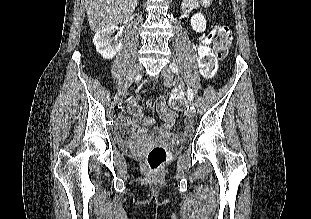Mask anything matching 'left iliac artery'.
<instances>
[{"mask_svg":"<svg viewBox=\"0 0 311 219\" xmlns=\"http://www.w3.org/2000/svg\"><path fill=\"white\" fill-rule=\"evenodd\" d=\"M170 68H171V70H172L173 72H175V73H178V72H179V68H178V66H177L175 63H171V64H170ZM187 97H188V100H189V101H192L193 98H194L193 91H192V89L189 88V87H188V89H187Z\"/></svg>","mask_w":311,"mask_h":219,"instance_id":"1","label":"left iliac artery"}]
</instances>
